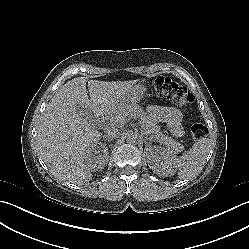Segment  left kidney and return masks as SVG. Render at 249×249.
I'll return each mask as SVG.
<instances>
[{"instance_id": "obj_1", "label": "left kidney", "mask_w": 249, "mask_h": 249, "mask_svg": "<svg viewBox=\"0 0 249 249\" xmlns=\"http://www.w3.org/2000/svg\"><path fill=\"white\" fill-rule=\"evenodd\" d=\"M155 154H156V158L157 160L160 162V164L162 165V167L164 168H168V165L165 163L164 161V157L166 156V151L164 149H160V148H155Z\"/></svg>"}]
</instances>
